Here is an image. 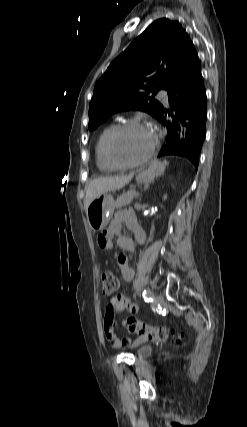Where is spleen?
I'll return each instance as SVG.
<instances>
[{"mask_svg": "<svg viewBox=\"0 0 247 427\" xmlns=\"http://www.w3.org/2000/svg\"><path fill=\"white\" fill-rule=\"evenodd\" d=\"M162 166H165V165H167L168 164V162L167 161H164L163 163H160ZM153 166H157V162H154L153 163Z\"/></svg>", "mask_w": 247, "mask_h": 427, "instance_id": "obj_1", "label": "spleen"}]
</instances>
